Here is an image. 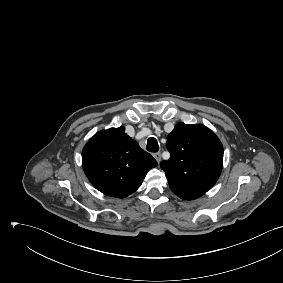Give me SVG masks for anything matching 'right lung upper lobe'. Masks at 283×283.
Returning <instances> with one entry per match:
<instances>
[{
	"instance_id": "right-lung-upper-lobe-1",
	"label": "right lung upper lobe",
	"mask_w": 283,
	"mask_h": 283,
	"mask_svg": "<svg viewBox=\"0 0 283 283\" xmlns=\"http://www.w3.org/2000/svg\"><path fill=\"white\" fill-rule=\"evenodd\" d=\"M83 169L105 195L124 198L135 192L157 161L130 138L123 127L96 133L82 151Z\"/></svg>"
}]
</instances>
